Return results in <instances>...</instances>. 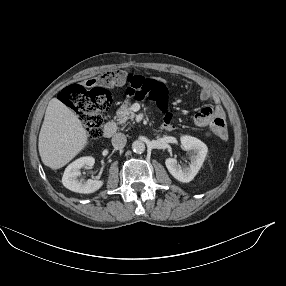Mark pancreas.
<instances>
[{
	"instance_id": "obj_1",
	"label": "pancreas",
	"mask_w": 286,
	"mask_h": 286,
	"mask_svg": "<svg viewBox=\"0 0 286 286\" xmlns=\"http://www.w3.org/2000/svg\"><path fill=\"white\" fill-rule=\"evenodd\" d=\"M134 117H135V114L130 109V104L128 102L122 104L116 113L118 124H124L127 122L128 119L133 120Z\"/></svg>"
}]
</instances>
